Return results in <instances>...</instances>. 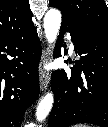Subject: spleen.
Listing matches in <instances>:
<instances>
[{
  "label": "spleen",
  "instance_id": "spleen-1",
  "mask_svg": "<svg viewBox=\"0 0 108 127\" xmlns=\"http://www.w3.org/2000/svg\"><path fill=\"white\" fill-rule=\"evenodd\" d=\"M73 127H89V126L85 124H76Z\"/></svg>",
  "mask_w": 108,
  "mask_h": 127
}]
</instances>
